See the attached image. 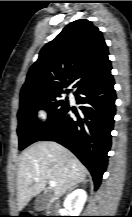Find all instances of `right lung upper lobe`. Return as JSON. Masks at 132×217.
Segmentation results:
<instances>
[{
	"label": "right lung upper lobe",
	"instance_id": "cb5924a9",
	"mask_svg": "<svg viewBox=\"0 0 132 217\" xmlns=\"http://www.w3.org/2000/svg\"><path fill=\"white\" fill-rule=\"evenodd\" d=\"M111 68L102 33L90 21L76 20L41 49L20 97L68 92L71 83L76 91L98 85L112 77Z\"/></svg>",
	"mask_w": 132,
	"mask_h": 217
}]
</instances>
